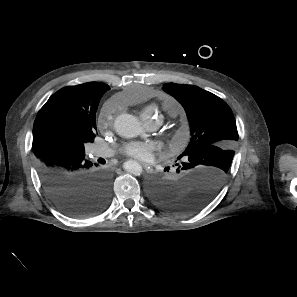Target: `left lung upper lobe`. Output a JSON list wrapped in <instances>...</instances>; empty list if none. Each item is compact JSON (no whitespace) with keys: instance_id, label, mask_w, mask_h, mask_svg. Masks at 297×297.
Masks as SVG:
<instances>
[{"instance_id":"1","label":"left lung upper lobe","mask_w":297,"mask_h":297,"mask_svg":"<svg viewBox=\"0 0 297 297\" xmlns=\"http://www.w3.org/2000/svg\"><path fill=\"white\" fill-rule=\"evenodd\" d=\"M162 89L182 104L190 123V143L177 159L188 168H218L227 176L238 141L230 107L197 86L167 83Z\"/></svg>"}]
</instances>
